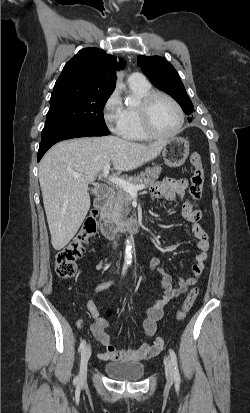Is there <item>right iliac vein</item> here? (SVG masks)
Returning <instances> with one entry per match:
<instances>
[{
	"mask_svg": "<svg viewBox=\"0 0 250 413\" xmlns=\"http://www.w3.org/2000/svg\"><path fill=\"white\" fill-rule=\"evenodd\" d=\"M91 356V347L88 345L81 353L80 382H84L87 375V364Z\"/></svg>",
	"mask_w": 250,
	"mask_h": 413,
	"instance_id": "right-iliac-vein-1",
	"label": "right iliac vein"
}]
</instances>
